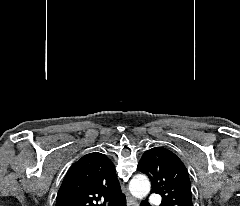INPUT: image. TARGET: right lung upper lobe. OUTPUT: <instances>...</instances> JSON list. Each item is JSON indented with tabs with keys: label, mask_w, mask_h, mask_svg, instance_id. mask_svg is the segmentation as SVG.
<instances>
[{
	"label": "right lung upper lobe",
	"mask_w": 240,
	"mask_h": 206,
	"mask_svg": "<svg viewBox=\"0 0 240 206\" xmlns=\"http://www.w3.org/2000/svg\"><path fill=\"white\" fill-rule=\"evenodd\" d=\"M115 166L104 154L89 153L67 172L56 206H105L121 194ZM103 201L99 205L98 202Z\"/></svg>",
	"instance_id": "right-lung-upper-lobe-1"
}]
</instances>
